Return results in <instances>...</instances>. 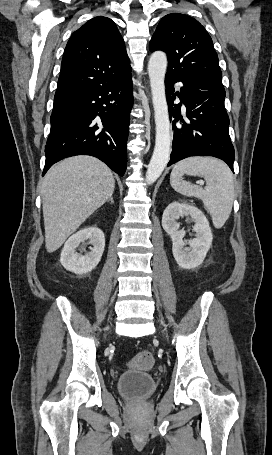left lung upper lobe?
<instances>
[{"label": "left lung upper lobe", "instance_id": "1", "mask_svg": "<svg viewBox=\"0 0 272 455\" xmlns=\"http://www.w3.org/2000/svg\"><path fill=\"white\" fill-rule=\"evenodd\" d=\"M150 51L162 50L168 58L167 74L190 73L222 80L218 56L205 28L190 16H164L150 41Z\"/></svg>", "mask_w": 272, "mask_h": 455}]
</instances>
